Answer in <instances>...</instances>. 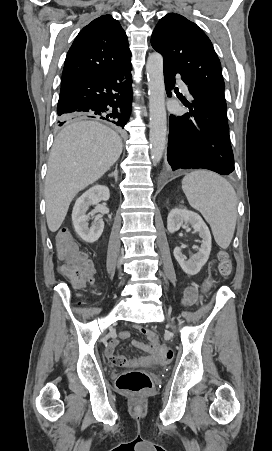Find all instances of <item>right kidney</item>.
I'll list each match as a JSON object with an SVG mask.
<instances>
[{
	"instance_id": "1",
	"label": "right kidney",
	"mask_w": 272,
	"mask_h": 451,
	"mask_svg": "<svg viewBox=\"0 0 272 451\" xmlns=\"http://www.w3.org/2000/svg\"><path fill=\"white\" fill-rule=\"evenodd\" d=\"M110 198L109 188L107 186H93L82 194L75 202L72 212V222L78 235L85 239V241H96L99 239L103 229L104 222L100 220L99 216H94L97 210H93L91 214H86L89 206H98L99 202H107ZM92 216V226L89 227L88 220Z\"/></svg>"
}]
</instances>
